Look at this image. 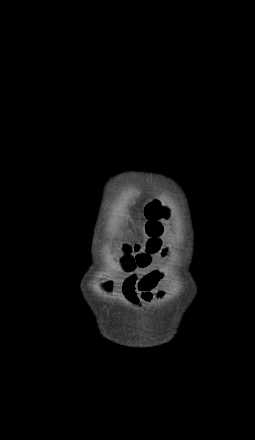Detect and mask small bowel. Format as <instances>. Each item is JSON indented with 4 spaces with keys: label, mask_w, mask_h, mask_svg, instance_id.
I'll list each match as a JSON object with an SVG mask.
<instances>
[{
    "label": "small bowel",
    "mask_w": 255,
    "mask_h": 440,
    "mask_svg": "<svg viewBox=\"0 0 255 440\" xmlns=\"http://www.w3.org/2000/svg\"><path fill=\"white\" fill-rule=\"evenodd\" d=\"M162 279V272L155 270L144 273L140 277L128 276L122 283V295L131 303L148 302L154 297V291ZM163 292L156 296L162 298Z\"/></svg>",
    "instance_id": "small-bowel-1"
}]
</instances>
